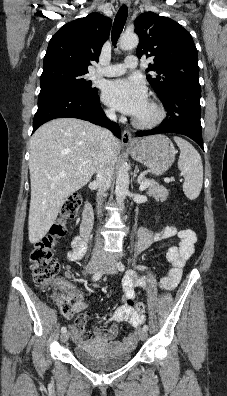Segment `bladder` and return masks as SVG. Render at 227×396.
I'll return each instance as SVG.
<instances>
[{
    "instance_id": "bladder-1",
    "label": "bladder",
    "mask_w": 227,
    "mask_h": 396,
    "mask_svg": "<svg viewBox=\"0 0 227 396\" xmlns=\"http://www.w3.org/2000/svg\"><path fill=\"white\" fill-rule=\"evenodd\" d=\"M74 356L83 366L97 372L119 369L131 360L129 352L109 353L96 343L75 346Z\"/></svg>"
}]
</instances>
